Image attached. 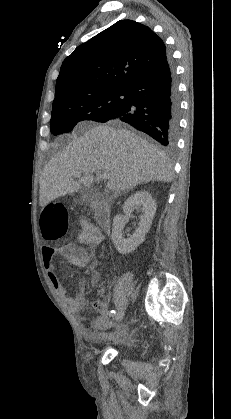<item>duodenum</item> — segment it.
Here are the masks:
<instances>
[{"instance_id": "410a0bca", "label": "duodenum", "mask_w": 231, "mask_h": 419, "mask_svg": "<svg viewBox=\"0 0 231 419\" xmlns=\"http://www.w3.org/2000/svg\"><path fill=\"white\" fill-rule=\"evenodd\" d=\"M95 219L99 228L107 231L110 227V210L109 207L103 202L95 204Z\"/></svg>"}]
</instances>
